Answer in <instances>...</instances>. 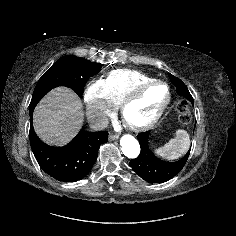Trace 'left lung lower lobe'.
<instances>
[{
  "instance_id": "obj_1",
  "label": "left lung lower lobe",
  "mask_w": 236,
  "mask_h": 236,
  "mask_svg": "<svg viewBox=\"0 0 236 236\" xmlns=\"http://www.w3.org/2000/svg\"><path fill=\"white\" fill-rule=\"evenodd\" d=\"M189 101L193 104V98L189 99ZM149 134L150 132L147 131L137 136L141 151L137 158L130 160V167L147 182L163 183L181 171L188 159L190 151L181 160L176 162L161 160L149 149Z\"/></svg>"
}]
</instances>
